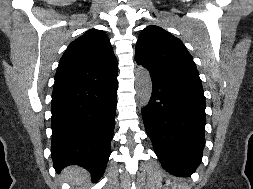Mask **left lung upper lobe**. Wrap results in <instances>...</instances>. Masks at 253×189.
Listing matches in <instances>:
<instances>
[{"label": "left lung upper lobe", "instance_id": "obj_1", "mask_svg": "<svg viewBox=\"0 0 253 189\" xmlns=\"http://www.w3.org/2000/svg\"><path fill=\"white\" fill-rule=\"evenodd\" d=\"M135 59L151 77L203 92L196 65L182 41L163 28L150 25L140 33Z\"/></svg>", "mask_w": 253, "mask_h": 189}]
</instances>
